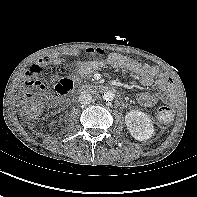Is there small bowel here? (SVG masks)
Wrapping results in <instances>:
<instances>
[{"instance_id": "1", "label": "small bowel", "mask_w": 197, "mask_h": 197, "mask_svg": "<svg viewBox=\"0 0 197 197\" xmlns=\"http://www.w3.org/2000/svg\"><path fill=\"white\" fill-rule=\"evenodd\" d=\"M77 51H70L69 55H77ZM86 54L91 58L86 61H78L74 64L77 74L80 77H86L95 70L102 68L105 64L113 68L123 69L136 74L140 83L145 87L156 86L159 93L141 92L137 94V101L143 107L154 106L159 100H169L174 93V87L168 77L156 66L143 64L133 60L127 56L118 53H111L105 61L95 59L96 56L102 54L100 49H88ZM63 63V59L58 55L41 57L29 70L28 75L32 81H36L35 77L39 76L47 66H59ZM30 87V86H29Z\"/></svg>"}]
</instances>
